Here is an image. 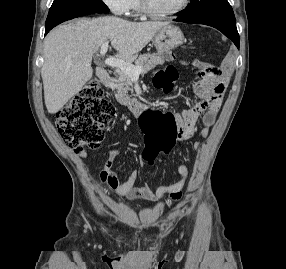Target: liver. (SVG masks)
Masks as SVG:
<instances>
[{"label":"liver","instance_id":"6515ba94","mask_svg":"<svg viewBox=\"0 0 286 269\" xmlns=\"http://www.w3.org/2000/svg\"><path fill=\"white\" fill-rule=\"evenodd\" d=\"M168 22H130L117 17L81 18L52 30L44 42L41 76L45 105L58 112L93 76L92 55L107 40L128 63Z\"/></svg>","mask_w":286,"mask_h":269}]
</instances>
